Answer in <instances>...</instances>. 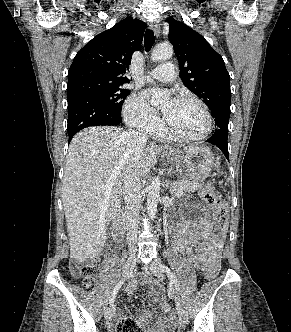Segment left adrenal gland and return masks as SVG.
I'll return each instance as SVG.
<instances>
[{
    "label": "left adrenal gland",
    "mask_w": 291,
    "mask_h": 332,
    "mask_svg": "<svg viewBox=\"0 0 291 332\" xmlns=\"http://www.w3.org/2000/svg\"><path fill=\"white\" fill-rule=\"evenodd\" d=\"M168 186H169V182H166L165 191H167Z\"/></svg>",
    "instance_id": "left-adrenal-gland-1"
}]
</instances>
